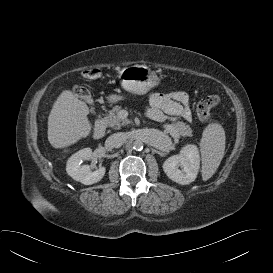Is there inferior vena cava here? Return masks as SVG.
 Instances as JSON below:
<instances>
[{"label": "inferior vena cava", "instance_id": "602c4592", "mask_svg": "<svg viewBox=\"0 0 273 273\" xmlns=\"http://www.w3.org/2000/svg\"><path fill=\"white\" fill-rule=\"evenodd\" d=\"M127 140V135L124 132H117L112 134L109 138L108 141L113 147H120L122 146Z\"/></svg>", "mask_w": 273, "mask_h": 273}]
</instances>
